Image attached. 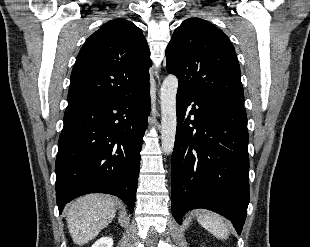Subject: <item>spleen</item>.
Listing matches in <instances>:
<instances>
[{"label":"spleen","instance_id":"1","mask_svg":"<svg viewBox=\"0 0 310 247\" xmlns=\"http://www.w3.org/2000/svg\"><path fill=\"white\" fill-rule=\"evenodd\" d=\"M197 220L203 228L208 230L215 237L219 239L227 238L229 230L221 216L212 212H204L203 214H199Z\"/></svg>","mask_w":310,"mask_h":247}]
</instances>
